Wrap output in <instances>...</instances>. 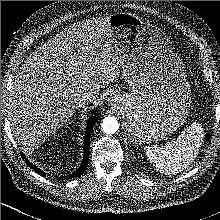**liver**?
<instances>
[{"mask_svg": "<svg viewBox=\"0 0 220 220\" xmlns=\"http://www.w3.org/2000/svg\"><path fill=\"white\" fill-rule=\"evenodd\" d=\"M110 17L78 22L24 62L12 83L9 120L18 142L31 149L61 128L85 92L98 95L120 74L122 57Z\"/></svg>", "mask_w": 220, "mask_h": 220, "instance_id": "1", "label": "liver"}]
</instances>
